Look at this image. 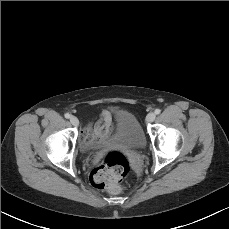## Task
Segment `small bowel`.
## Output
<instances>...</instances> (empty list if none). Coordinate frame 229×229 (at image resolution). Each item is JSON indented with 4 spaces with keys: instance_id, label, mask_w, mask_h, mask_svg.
<instances>
[{
    "instance_id": "1",
    "label": "small bowel",
    "mask_w": 229,
    "mask_h": 229,
    "mask_svg": "<svg viewBox=\"0 0 229 229\" xmlns=\"http://www.w3.org/2000/svg\"><path fill=\"white\" fill-rule=\"evenodd\" d=\"M113 114L109 110H103L99 121L94 125H88L82 134V143L88 139L109 137L113 133Z\"/></svg>"
}]
</instances>
